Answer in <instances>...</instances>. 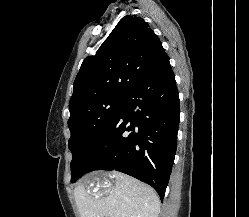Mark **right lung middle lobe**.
<instances>
[{
	"instance_id": "dd1d6c3e",
	"label": "right lung middle lobe",
	"mask_w": 249,
	"mask_h": 217,
	"mask_svg": "<svg viewBox=\"0 0 249 217\" xmlns=\"http://www.w3.org/2000/svg\"><path fill=\"white\" fill-rule=\"evenodd\" d=\"M125 96H105L86 102L70 112L68 127L71 137L68 142L72 152L71 182L83 173L81 166L90 149L106 132L119 113Z\"/></svg>"
}]
</instances>
